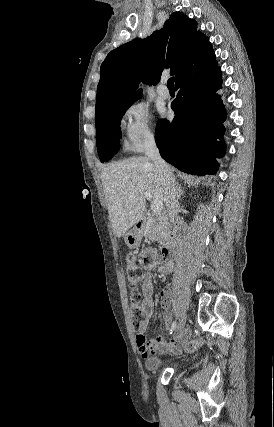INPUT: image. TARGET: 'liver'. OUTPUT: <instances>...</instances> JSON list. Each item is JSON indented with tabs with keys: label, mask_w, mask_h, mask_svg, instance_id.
I'll use <instances>...</instances> for the list:
<instances>
[{
	"label": "liver",
	"mask_w": 274,
	"mask_h": 427,
	"mask_svg": "<svg viewBox=\"0 0 274 427\" xmlns=\"http://www.w3.org/2000/svg\"><path fill=\"white\" fill-rule=\"evenodd\" d=\"M174 168L159 172L150 158H128L107 164L101 172V182L107 202L108 214L117 237L142 219L146 200L144 192L153 202H164L169 190H177Z\"/></svg>",
	"instance_id": "6515ba94"
}]
</instances>
